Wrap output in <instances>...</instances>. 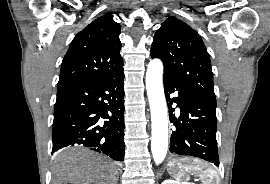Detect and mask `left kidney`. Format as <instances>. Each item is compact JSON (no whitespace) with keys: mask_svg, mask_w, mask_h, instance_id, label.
<instances>
[{"mask_svg":"<svg viewBox=\"0 0 270 184\" xmlns=\"http://www.w3.org/2000/svg\"><path fill=\"white\" fill-rule=\"evenodd\" d=\"M162 184H182V183H180L178 181L171 180V179H167V180L163 181Z\"/></svg>","mask_w":270,"mask_h":184,"instance_id":"obj_1","label":"left kidney"}]
</instances>
